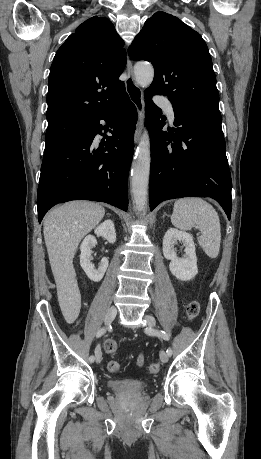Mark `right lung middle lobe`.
Returning <instances> with one entry per match:
<instances>
[{"mask_svg":"<svg viewBox=\"0 0 261 459\" xmlns=\"http://www.w3.org/2000/svg\"><path fill=\"white\" fill-rule=\"evenodd\" d=\"M88 122L69 120L48 126L44 154L50 153L86 130Z\"/></svg>","mask_w":261,"mask_h":459,"instance_id":"obj_1","label":"right lung middle lobe"}]
</instances>
